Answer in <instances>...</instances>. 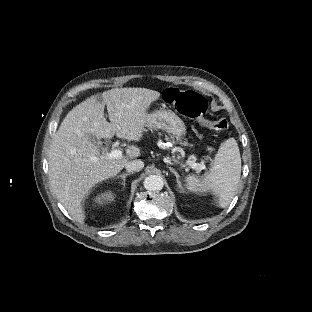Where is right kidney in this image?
<instances>
[{
  "label": "right kidney",
  "mask_w": 312,
  "mask_h": 312,
  "mask_svg": "<svg viewBox=\"0 0 312 312\" xmlns=\"http://www.w3.org/2000/svg\"><path fill=\"white\" fill-rule=\"evenodd\" d=\"M113 199H114L113 193L111 191H106L104 193L97 195L94 198V202L97 204H104V203L113 201Z\"/></svg>",
  "instance_id": "ca27d5eb"
}]
</instances>
